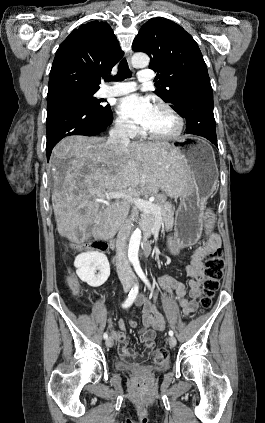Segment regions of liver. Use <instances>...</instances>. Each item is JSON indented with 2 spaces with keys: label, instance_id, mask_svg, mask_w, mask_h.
<instances>
[{
  "label": "liver",
  "instance_id": "1",
  "mask_svg": "<svg viewBox=\"0 0 265 423\" xmlns=\"http://www.w3.org/2000/svg\"><path fill=\"white\" fill-rule=\"evenodd\" d=\"M51 165L57 230L75 243L91 236L110 239L120 229L132 202L122 197L109 203L97 201L109 200L105 198L109 193L139 198L161 190L178 198L184 190L180 156L167 142L122 146L100 137L70 136L54 147Z\"/></svg>",
  "mask_w": 265,
  "mask_h": 423
}]
</instances>
